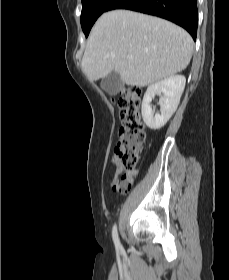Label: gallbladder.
Instances as JSON below:
<instances>
[{
	"instance_id": "1",
	"label": "gallbladder",
	"mask_w": 229,
	"mask_h": 280,
	"mask_svg": "<svg viewBox=\"0 0 229 280\" xmlns=\"http://www.w3.org/2000/svg\"><path fill=\"white\" fill-rule=\"evenodd\" d=\"M123 87L119 73L113 71L101 81V88L109 95H116Z\"/></svg>"
}]
</instances>
